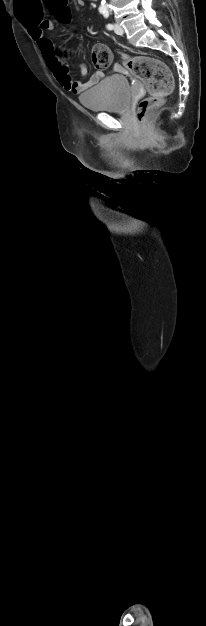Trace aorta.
Wrapping results in <instances>:
<instances>
[{
	"label": "aorta",
	"mask_w": 206,
	"mask_h": 626,
	"mask_svg": "<svg viewBox=\"0 0 206 626\" xmlns=\"http://www.w3.org/2000/svg\"><path fill=\"white\" fill-rule=\"evenodd\" d=\"M101 6L106 9V4H105V0H102Z\"/></svg>",
	"instance_id": "1"
}]
</instances>
